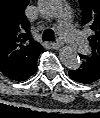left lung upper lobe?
Instances as JSON below:
<instances>
[{"label": "left lung upper lobe", "instance_id": "left-lung-upper-lobe-1", "mask_svg": "<svg viewBox=\"0 0 100 118\" xmlns=\"http://www.w3.org/2000/svg\"><path fill=\"white\" fill-rule=\"evenodd\" d=\"M83 10L82 25L90 27L93 35L88 38L92 52L85 56L100 65V0H80Z\"/></svg>", "mask_w": 100, "mask_h": 118}]
</instances>
